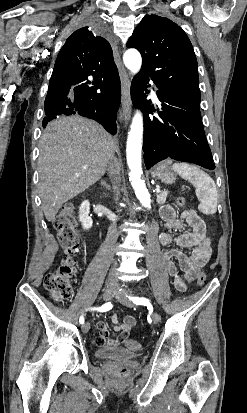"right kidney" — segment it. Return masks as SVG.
Returning <instances> with one entry per match:
<instances>
[{"label": "right kidney", "instance_id": "obj_1", "mask_svg": "<svg viewBox=\"0 0 247 413\" xmlns=\"http://www.w3.org/2000/svg\"><path fill=\"white\" fill-rule=\"evenodd\" d=\"M89 207V200H83L79 207V221L82 223L83 229H91L92 227L93 221L91 217H89Z\"/></svg>", "mask_w": 247, "mask_h": 413}]
</instances>
